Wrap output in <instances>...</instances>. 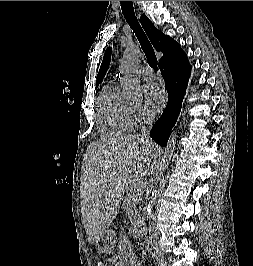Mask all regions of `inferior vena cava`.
Masks as SVG:
<instances>
[{
    "label": "inferior vena cava",
    "mask_w": 253,
    "mask_h": 266,
    "mask_svg": "<svg viewBox=\"0 0 253 266\" xmlns=\"http://www.w3.org/2000/svg\"><path fill=\"white\" fill-rule=\"evenodd\" d=\"M145 122H146L147 126L141 130V136L149 141L148 134H149L151 126L154 122V118L149 116V117H147ZM152 220H153V215L150 217V222H149V225H148L146 231L149 234L150 244H151L152 249H153L152 255L156 258L157 261H162L163 255L159 249L158 242H157L158 234H157L156 229L153 226Z\"/></svg>",
    "instance_id": "602c4592"
}]
</instances>
